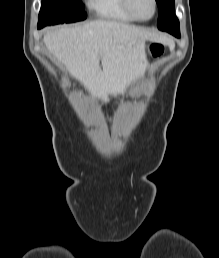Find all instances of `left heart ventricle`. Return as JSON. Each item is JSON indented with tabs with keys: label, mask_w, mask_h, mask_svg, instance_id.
Returning <instances> with one entry per match:
<instances>
[{
	"label": "left heart ventricle",
	"mask_w": 219,
	"mask_h": 258,
	"mask_svg": "<svg viewBox=\"0 0 219 258\" xmlns=\"http://www.w3.org/2000/svg\"><path fill=\"white\" fill-rule=\"evenodd\" d=\"M131 5L138 17L148 18L153 13L152 0H131Z\"/></svg>",
	"instance_id": "b2bd125f"
}]
</instances>
